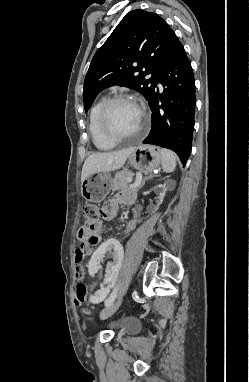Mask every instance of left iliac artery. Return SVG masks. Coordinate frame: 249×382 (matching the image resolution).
Masks as SVG:
<instances>
[{"label": "left iliac artery", "instance_id": "left-iliac-artery-1", "mask_svg": "<svg viewBox=\"0 0 249 382\" xmlns=\"http://www.w3.org/2000/svg\"><path fill=\"white\" fill-rule=\"evenodd\" d=\"M117 291H118L117 288H115L113 290V292L110 294L109 298L105 301V306H108V305H110V304H112L114 302V300H115V298L117 296Z\"/></svg>", "mask_w": 249, "mask_h": 382}]
</instances>
